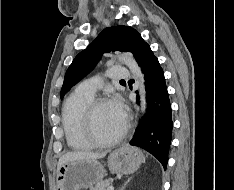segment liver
<instances>
[{"label": "liver", "mask_w": 234, "mask_h": 190, "mask_svg": "<svg viewBox=\"0 0 234 190\" xmlns=\"http://www.w3.org/2000/svg\"><path fill=\"white\" fill-rule=\"evenodd\" d=\"M106 156V153H92V152H68L60 157L58 161V169L66 162L82 160V159H100Z\"/></svg>", "instance_id": "1"}]
</instances>
